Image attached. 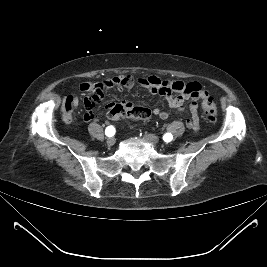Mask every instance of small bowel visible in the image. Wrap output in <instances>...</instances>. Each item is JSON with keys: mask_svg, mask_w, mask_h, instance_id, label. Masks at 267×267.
I'll list each match as a JSON object with an SVG mask.
<instances>
[{"mask_svg": "<svg viewBox=\"0 0 267 267\" xmlns=\"http://www.w3.org/2000/svg\"><path fill=\"white\" fill-rule=\"evenodd\" d=\"M139 85L151 93L163 96L171 109L184 111V103L191 100L189 105V117L186 121L187 127L193 132L199 130V112L198 101L209 98L208 93L203 89L199 82H183L178 80L162 79L157 76L134 77L131 75H122L111 77L99 82H85L81 85V90L87 93L84 99L86 121H93L97 118L95 107L103 100V91L108 88H130ZM79 105V99L76 95L71 94L65 97L62 104L63 118L66 123L72 121L74 111ZM132 103L127 99H122L118 103H110L108 111L115 107L128 108ZM152 113L161 119H167L169 113L159 108H154Z\"/></svg>", "mask_w": 267, "mask_h": 267, "instance_id": "small-bowel-1", "label": "small bowel"}]
</instances>
